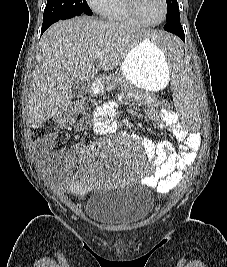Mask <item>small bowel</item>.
Listing matches in <instances>:
<instances>
[{"label":"small bowel","instance_id":"1","mask_svg":"<svg viewBox=\"0 0 227 267\" xmlns=\"http://www.w3.org/2000/svg\"><path fill=\"white\" fill-rule=\"evenodd\" d=\"M115 105L112 102H104L98 105L93 112L91 129L100 136L112 133L116 129L112 121ZM150 119L159 128H171L181 145V150L177 151L168 141L154 143L146 138L140 141L151 160L155 169L143 178V182L155 189L157 192L166 193L177 187L182 177V172L195 159L196 151L200 148V137L197 133H187L179 128L178 117L171 109H161L151 111ZM88 123L70 127L69 130H80ZM52 141L44 139L41 142V154L51 156ZM67 188H75L80 193L85 192L89 182L84 169L77 170L73 175L65 178Z\"/></svg>","mask_w":227,"mask_h":267}]
</instances>
